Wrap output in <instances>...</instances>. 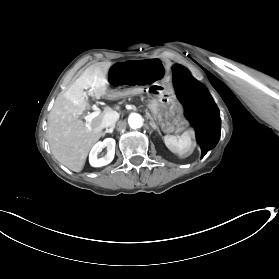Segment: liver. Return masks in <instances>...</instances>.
<instances>
[{
  "label": "liver",
  "mask_w": 279,
  "mask_h": 279,
  "mask_svg": "<svg viewBox=\"0 0 279 279\" xmlns=\"http://www.w3.org/2000/svg\"><path fill=\"white\" fill-rule=\"evenodd\" d=\"M109 69L91 66L71 87L59 94L48 114L47 140L54 158L74 172H81L92 146L102 136V119L106 106L90 123L81 120L84 111L89 108L82 96L89 89L93 98L101 99L109 93Z\"/></svg>",
  "instance_id": "1"
}]
</instances>
